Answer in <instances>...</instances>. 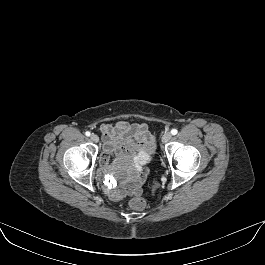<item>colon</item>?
<instances>
[{"label": "colon", "instance_id": "colon-1", "mask_svg": "<svg viewBox=\"0 0 265 265\" xmlns=\"http://www.w3.org/2000/svg\"><path fill=\"white\" fill-rule=\"evenodd\" d=\"M131 209L135 211H141L146 207V201L143 198L137 197L130 201Z\"/></svg>", "mask_w": 265, "mask_h": 265}]
</instances>
